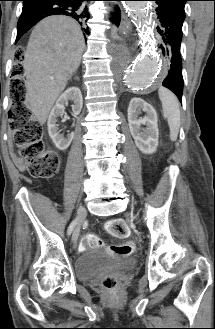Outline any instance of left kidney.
<instances>
[{
  "instance_id": "left-kidney-1",
  "label": "left kidney",
  "mask_w": 215,
  "mask_h": 329,
  "mask_svg": "<svg viewBox=\"0 0 215 329\" xmlns=\"http://www.w3.org/2000/svg\"><path fill=\"white\" fill-rule=\"evenodd\" d=\"M144 111L146 116L138 118ZM129 129L138 149L145 154L156 152L158 146V119L155 109L141 98L131 99L128 107ZM141 125H146L143 129Z\"/></svg>"
}]
</instances>
